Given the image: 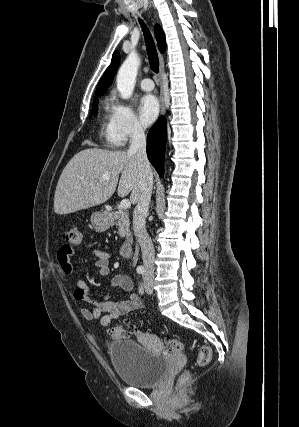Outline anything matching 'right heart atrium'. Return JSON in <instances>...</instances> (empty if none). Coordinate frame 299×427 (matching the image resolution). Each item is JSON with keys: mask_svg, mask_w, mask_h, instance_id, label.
<instances>
[{"mask_svg": "<svg viewBox=\"0 0 299 427\" xmlns=\"http://www.w3.org/2000/svg\"><path fill=\"white\" fill-rule=\"evenodd\" d=\"M142 135L144 128L131 106L112 96L109 105V141L116 146H124L129 140Z\"/></svg>", "mask_w": 299, "mask_h": 427, "instance_id": "1", "label": "right heart atrium"}]
</instances>
